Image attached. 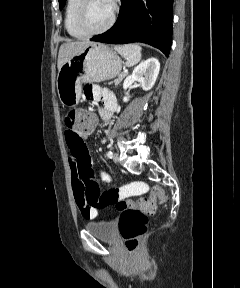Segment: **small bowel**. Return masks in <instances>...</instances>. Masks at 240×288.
<instances>
[{"instance_id": "1", "label": "small bowel", "mask_w": 240, "mask_h": 288, "mask_svg": "<svg viewBox=\"0 0 240 288\" xmlns=\"http://www.w3.org/2000/svg\"><path fill=\"white\" fill-rule=\"evenodd\" d=\"M84 96L88 101L100 104L99 115L103 120H109L112 113L116 110V97L108 89L97 85H86L84 87ZM89 133L77 137L73 133L66 131L65 139L71 153L69 166L75 201L85 219H94L98 215V208L88 205L86 195L90 190L99 191V186L94 180L93 160L84 142ZM100 176L104 182L111 181V177L104 171H101ZM134 185L129 184L120 187L118 190L121 196L125 198L131 195Z\"/></svg>"}]
</instances>
